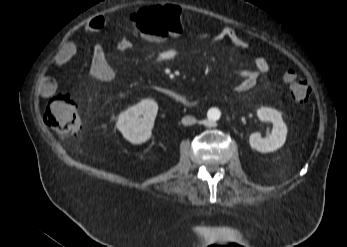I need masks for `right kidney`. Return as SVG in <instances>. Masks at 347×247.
<instances>
[{
	"mask_svg": "<svg viewBox=\"0 0 347 247\" xmlns=\"http://www.w3.org/2000/svg\"><path fill=\"white\" fill-rule=\"evenodd\" d=\"M157 112L158 105L154 100H142L120 113L116 127L129 142L144 143L151 137Z\"/></svg>",
	"mask_w": 347,
	"mask_h": 247,
	"instance_id": "obj_1",
	"label": "right kidney"
}]
</instances>
